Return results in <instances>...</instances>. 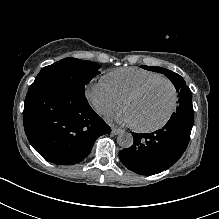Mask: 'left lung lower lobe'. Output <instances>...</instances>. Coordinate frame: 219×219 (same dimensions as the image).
Returning a JSON list of instances; mask_svg holds the SVG:
<instances>
[{
	"label": "left lung lower lobe",
	"mask_w": 219,
	"mask_h": 219,
	"mask_svg": "<svg viewBox=\"0 0 219 219\" xmlns=\"http://www.w3.org/2000/svg\"><path fill=\"white\" fill-rule=\"evenodd\" d=\"M193 122L194 115H176L155 132L132 133L134 143L119 152L121 162L140 175H154L168 169L186 150Z\"/></svg>",
	"instance_id": "obj_1"
}]
</instances>
